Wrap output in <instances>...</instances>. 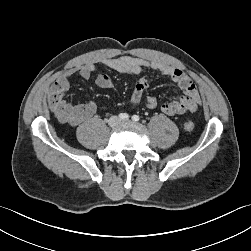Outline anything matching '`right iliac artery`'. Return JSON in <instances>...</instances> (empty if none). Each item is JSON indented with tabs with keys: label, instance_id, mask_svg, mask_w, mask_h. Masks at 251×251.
<instances>
[{
	"label": "right iliac artery",
	"instance_id": "82829eb1",
	"mask_svg": "<svg viewBox=\"0 0 251 251\" xmlns=\"http://www.w3.org/2000/svg\"><path fill=\"white\" fill-rule=\"evenodd\" d=\"M118 116H119L120 119H123V120L129 118V115L127 113H120Z\"/></svg>",
	"mask_w": 251,
	"mask_h": 251
}]
</instances>
